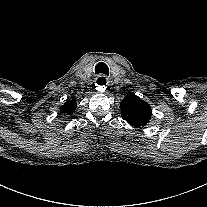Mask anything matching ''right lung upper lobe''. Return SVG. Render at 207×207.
<instances>
[{
	"instance_id": "1",
	"label": "right lung upper lobe",
	"mask_w": 207,
	"mask_h": 207,
	"mask_svg": "<svg viewBox=\"0 0 207 207\" xmlns=\"http://www.w3.org/2000/svg\"><path fill=\"white\" fill-rule=\"evenodd\" d=\"M75 108H76V103L75 100L73 99L65 102V104L60 107V111L63 114L71 115L75 111Z\"/></svg>"
}]
</instances>
